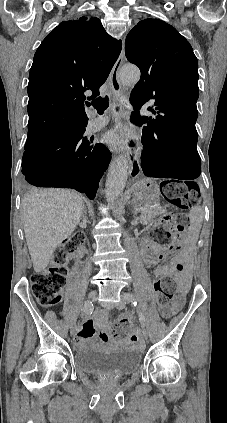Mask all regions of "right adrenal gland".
I'll use <instances>...</instances> for the list:
<instances>
[{
	"label": "right adrenal gland",
	"mask_w": 227,
	"mask_h": 423,
	"mask_svg": "<svg viewBox=\"0 0 227 423\" xmlns=\"http://www.w3.org/2000/svg\"><path fill=\"white\" fill-rule=\"evenodd\" d=\"M82 206H83V213H87L85 204H82Z\"/></svg>",
	"instance_id": "right-adrenal-gland-1"
}]
</instances>
